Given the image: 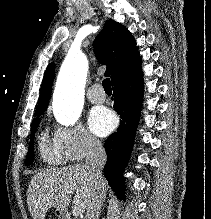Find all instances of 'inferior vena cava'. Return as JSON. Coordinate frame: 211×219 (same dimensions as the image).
Wrapping results in <instances>:
<instances>
[{
  "mask_svg": "<svg viewBox=\"0 0 211 219\" xmlns=\"http://www.w3.org/2000/svg\"><path fill=\"white\" fill-rule=\"evenodd\" d=\"M107 156L99 140L90 138L88 140V152L86 155V168L94 183V198L89 205L86 219H99L101 207L105 197V180L102 176V169L106 163Z\"/></svg>",
  "mask_w": 211,
  "mask_h": 219,
  "instance_id": "obj_1",
  "label": "inferior vena cava"
}]
</instances>
